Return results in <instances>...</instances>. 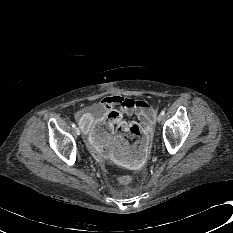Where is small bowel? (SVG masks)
<instances>
[{
	"label": "small bowel",
	"mask_w": 233,
	"mask_h": 233,
	"mask_svg": "<svg viewBox=\"0 0 233 233\" xmlns=\"http://www.w3.org/2000/svg\"><path fill=\"white\" fill-rule=\"evenodd\" d=\"M107 110L106 115L85 114L79 123L88 136V140L97 154H106L111 164L124 168H138L149 152L150 141L145 136H138L133 142L126 143L115 139L106 132L100 131V126L107 123L112 133L119 128L127 129L131 124L123 120V113L134 116L149 130L155 116V109L143 100H133L118 95L105 96L99 103Z\"/></svg>",
	"instance_id": "obj_1"
}]
</instances>
